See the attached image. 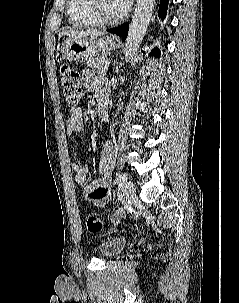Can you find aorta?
<instances>
[{
    "label": "aorta",
    "mask_w": 239,
    "mask_h": 303,
    "mask_svg": "<svg viewBox=\"0 0 239 303\" xmlns=\"http://www.w3.org/2000/svg\"><path fill=\"white\" fill-rule=\"evenodd\" d=\"M154 4L155 0H137L124 47L126 61H130L133 58L143 41L153 13Z\"/></svg>",
    "instance_id": "762f6f07"
}]
</instances>
